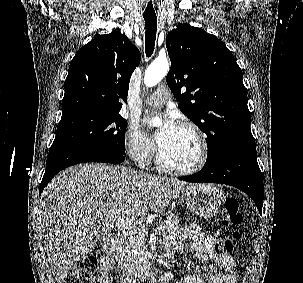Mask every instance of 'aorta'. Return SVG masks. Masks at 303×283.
Segmentation results:
<instances>
[{"label":"aorta","instance_id":"aorta-1","mask_svg":"<svg viewBox=\"0 0 303 283\" xmlns=\"http://www.w3.org/2000/svg\"><path fill=\"white\" fill-rule=\"evenodd\" d=\"M169 62L166 59H157L145 71L144 83L147 87L157 85L167 74ZM154 125H160V120L156 119Z\"/></svg>","mask_w":303,"mask_h":283}]
</instances>
